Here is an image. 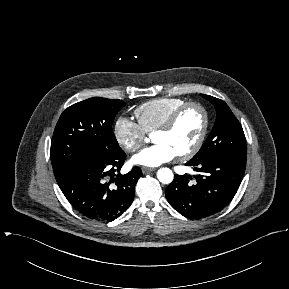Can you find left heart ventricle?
<instances>
[{
	"label": "left heart ventricle",
	"mask_w": 289,
	"mask_h": 289,
	"mask_svg": "<svg viewBox=\"0 0 289 289\" xmlns=\"http://www.w3.org/2000/svg\"><path fill=\"white\" fill-rule=\"evenodd\" d=\"M202 123L203 118L200 111L190 108L180 117L170 132L154 133L153 141L167 144L177 155L181 154L194 144L202 128Z\"/></svg>",
	"instance_id": "1"
}]
</instances>
